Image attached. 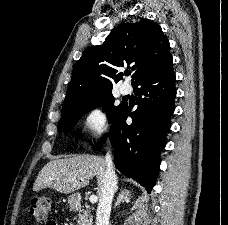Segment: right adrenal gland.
<instances>
[{"label":"right adrenal gland","instance_id":"1","mask_svg":"<svg viewBox=\"0 0 228 225\" xmlns=\"http://www.w3.org/2000/svg\"><path fill=\"white\" fill-rule=\"evenodd\" d=\"M131 191H127V189H122L121 193H119L117 197V203H115L113 209H116L120 203H131Z\"/></svg>","mask_w":228,"mask_h":225}]
</instances>
